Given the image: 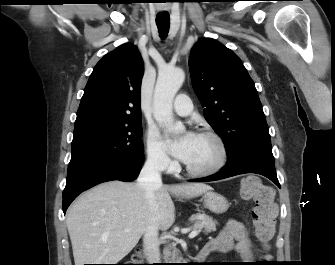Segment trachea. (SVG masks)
<instances>
[{
	"instance_id": "obj_1",
	"label": "trachea",
	"mask_w": 335,
	"mask_h": 265,
	"mask_svg": "<svg viewBox=\"0 0 335 265\" xmlns=\"http://www.w3.org/2000/svg\"><path fill=\"white\" fill-rule=\"evenodd\" d=\"M156 25L161 38H165L170 28V15L168 13L158 14L156 16Z\"/></svg>"
}]
</instances>
